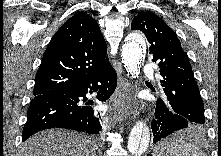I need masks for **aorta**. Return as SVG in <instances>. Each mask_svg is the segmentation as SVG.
<instances>
[{
  "instance_id": "aorta-1",
  "label": "aorta",
  "mask_w": 221,
  "mask_h": 156,
  "mask_svg": "<svg viewBox=\"0 0 221 156\" xmlns=\"http://www.w3.org/2000/svg\"><path fill=\"white\" fill-rule=\"evenodd\" d=\"M145 41L141 34L131 33L122 46L121 57L126 71L136 78L140 74ZM150 130L142 121L136 122L131 129L127 149L132 155L143 153L149 146Z\"/></svg>"
}]
</instances>
